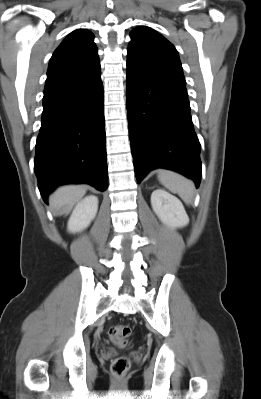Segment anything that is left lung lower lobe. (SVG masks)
Instances as JSON below:
<instances>
[{"label": "left lung lower lobe", "mask_w": 261, "mask_h": 399, "mask_svg": "<svg viewBox=\"0 0 261 399\" xmlns=\"http://www.w3.org/2000/svg\"><path fill=\"white\" fill-rule=\"evenodd\" d=\"M127 110L138 183L155 168L201 178L200 143L193 129L185 84L127 68Z\"/></svg>", "instance_id": "0a47b994"}]
</instances>
